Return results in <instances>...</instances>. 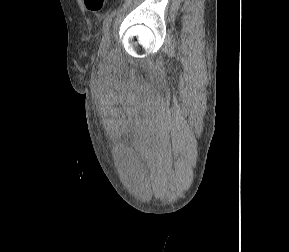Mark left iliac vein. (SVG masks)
I'll return each instance as SVG.
<instances>
[{"label": "left iliac vein", "instance_id": "4c4485c4", "mask_svg": "<svg viewBox=\"0 0 289 252\" xmlns=\"http://www.w3.org/2000/svg\"><path fill=\"white\" fill-rule=\"evenodd\" d=\"M110 45V32L107 30L101 40L99 50L100 52H104L108 49Z\"/></svg>", "mask_w": 289, "mask_h": 252}]
</instances>
